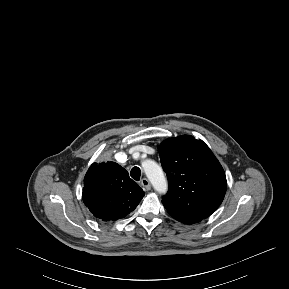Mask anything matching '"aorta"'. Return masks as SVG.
Masks as SVG:
<instances>
[{
  "mask_svg": "<svg viewBox=\"0 0 289 289\" xmlns=\"http://www.w3.org/2000/svg\"><path fill=\"white\" fill-rule=\"evenodd\" d=\"M142 167L153 188L158 193H166L168 184L162 168L152 160L144 161Z\"/></svg>",
  "mask_w": 289,
  "mask_h": 289,
  "instance_id": "obj_1",
  "label": "aorta"
}]
</instances>
